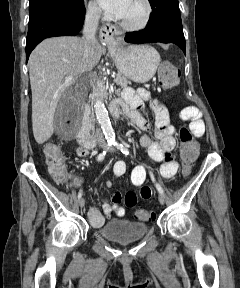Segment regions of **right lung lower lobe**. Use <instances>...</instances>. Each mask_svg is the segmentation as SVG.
I'll list each match as a JSON object with an SVG mask.
<instances>
[{"label":"right lung lower lobe","instance_id":"right-lung-lower-lobe-1","mask_svg":"<svg viewBox=\"0 0 240 288\" xmlns=\"http://www.w3.org/2000/svg\"><path fill=\"white\" fill-rule=\"evenodd\" d=\"M84 18L85 7L83 3L77 9L54 8L29 21L26 40V62L31 51L43 39L53 36H74L78 34L83 26Z\"/></svg>","mask_w":240,"mask_h":288}]
</instances>
